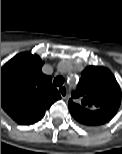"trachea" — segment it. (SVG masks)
Listing matches in <instances>:
<instances>
[{
  "instance_id": "trachea-1",
  "label": "trachea",
  "mask_w": 122,
  "mask_h": 154,
  "mask_svg": "<svg viewBox=\"0 0 122 154\" xmlns=\"http://www.w3.org/2000/svg\"><path fill=\"white\" fill-rule=\"evenodd\" d=\"M53 83L55 86H62L64 83V78L61 76H58L54 79Z\"/></svg>"
}]
</instances>
